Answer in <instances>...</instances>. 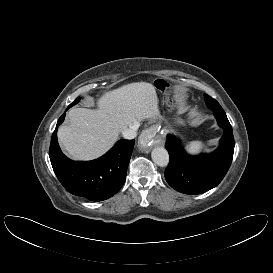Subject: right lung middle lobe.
I'll list each match as a JSON object with an SVG mask.
<instances>
[{
	"instance_id": "right-lung-middle-lobe-1",
	"label": "right lung middle lobe",
	"mask_w": 273,
	"mask_h": 273,
	"mask_svg": "<svg viewBox=\"0 0 273 273\" xmlns=\"http://www.w3.org/2000/svg\"><path fill=\"white\" fill-rule=\"evenodd\" d=\"M80 101V97L76 98L70 105L69 107L74 106L75 104H77Z\"/></svg>"
}]
</instances>
